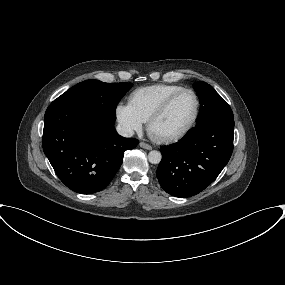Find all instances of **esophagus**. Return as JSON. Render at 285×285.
<instances>
[{
  "instance_id": "obj_1",
  "label": "esophagus",
  "mask_w": 285,
  "mask_h": 285,
  "mask_svg": "<svg viewBox=\"0 0 285 285\" xmlns=\"http://www.w3.org/2000/svg\"><path fill=\"white\" fill-rule=\"evenodd\" d=\"M140 147L144 148V149H147V150H151L152 149V146L145 143V142H140L139 143Z\"/></svg>"
}]
</instances>
